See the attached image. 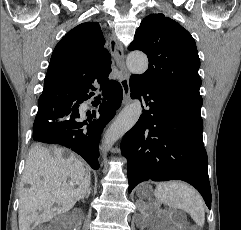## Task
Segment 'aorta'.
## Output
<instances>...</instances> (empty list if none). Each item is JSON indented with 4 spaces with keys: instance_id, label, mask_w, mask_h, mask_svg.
Returning a JSON list of instances; mask_svg holds the SVG:
<instances>
[{
    "instance_id": "762f6f07",
    "label": "aorta",
    "mask_w": 241,
    "mask_h": 230,
    "mask_svg": "<svg viewBox=\"0 0 241 230\" xmlns=\"http://www.w3.org/2000/svg\"><path fill=\"white\" fill-rule=\"evenodd\" d=\"M126 63L129 71L136 75L145 73L148 68V58L144 53L140 52L130 53ZM141 112L142 108L139 100L132 101L121 111L105 135L103 143L105 152L136 124Z\"/></svg>"
}]
</instances>
